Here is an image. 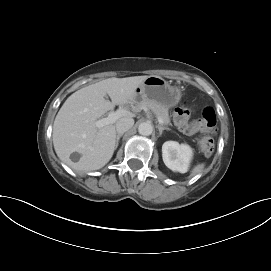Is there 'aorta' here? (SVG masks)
Returning a JSON list of instances; mask_svg holds the SVG:
<instances>
[{
    "instance_id": "1",
    "label": "aorta",
    "mask_w": 271,
    "mask_h": 271,
    "mask_svg": "<svg viewBox=\"0 0 271 271\" xmlns=\"http://www.w3.org/2000/svg\"><path fill=\"white\" fill-rule=\"evenodd\" d=\"M138 132L140 135L149 136L153 132V126L150 122H143L139 125Z\"/></svg>"
}]
</instances>
